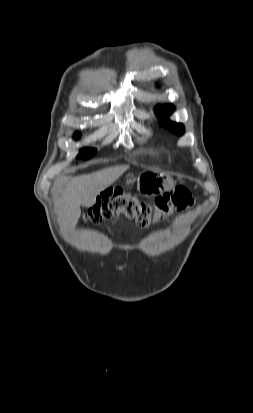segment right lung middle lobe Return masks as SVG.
<instances>
[{
    "label": "right lung middle lobe",
    "instance_id": "obj_1",
    "mask_svg": "<svg viewBox=\"0 0 253 413\" xmlns=\"http://www.w3.org/2000/svg\"><path fill=\"white\" fill-rule=\"evenodd\" d=\"M75 138L78 139L79 138V134H75ZM96 153L95 149H90V148H85L80 150V153L78 155V158H82V159H90L91 157L94 156V154Z\"/></svg>",
    "mask_w": 253,
    "mask_h": 413
}]
</instances>
